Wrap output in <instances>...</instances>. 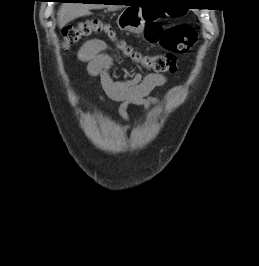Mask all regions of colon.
I'll use <instances>...</instances> for the list:
<instances>
[{"mask_svg": "<svg viewBox=\"0 0 259 266\" xmlns=\"http://www.w3.org/2000/svg\"><path fill=\"white\" fill-rule=\"evenodd\" d=\"M160 13L153 9L146 11L145 37L154 44L160 45L167 52L164 54L143 55L133 47L118 40L114 30L100 18L93 17L68 26L63 32V46L70 48L83 38L103 33L117 44L118 49L145 69L156 73L175 72L178 66V54L188 52L197 41L196 30L189 25H176L164 28L157 21Z\"/></svg>", "mask_w": 259, "mask_h": 266, "instance_id": "colon-1", "label": "colon"}]
</instances>
